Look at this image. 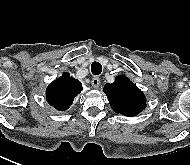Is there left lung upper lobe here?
Here are the masks:
<instances>
[{
  "label": "left lung upper lobe",
  "mask_w": 190,
  "mask_h": 165,
  "mask_svg": "<svg viewBox=\"0 0 190 165\" xmlns=\"http://www.w3.org/2000/svg\"><path fill=\"white\" fill-rule=\"evenodd\" d=\"M103 90L116 113L135 116L146 107L143 92L124 75L117 76L114 83H107Z\"/></svg>",
  "instance_id": "left-lung-upper-lobe-1"
}]
</instances>
